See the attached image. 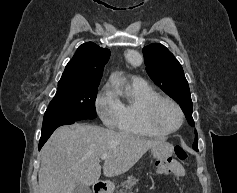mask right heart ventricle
<instances>
[{
	"label": "right heart ventricle",
	"instance_id": "e07e8e85",
	"mask_svg": "<svg viewBox=\"0 0 237 193\" xmlns=\"http://www.w3.org/2000/svg\"><path fill=\"white\" fill-rule=\"evenodd\" d=\"M158 93L144 81H131L125 86L124 95L118 101V114L115 128L133 136L157 137L164 134L145 125L143 111L146 104Z\"/></svg>",
	"mask_w": 237,
	"mask_h": 193
}]
</instances>
